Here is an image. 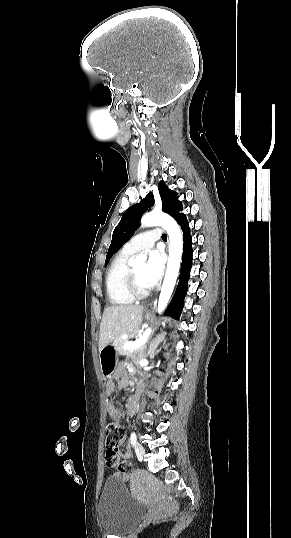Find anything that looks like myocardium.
Segmentation results:
<instances>
[{
  "label": "myocardium",
  "mask_w": 291,
  "mask_h": 538,
  "mask_svg": "<svg viewBox=\"0 0 291 538\" xmlns=\"http://www.w3.org/2000/svg\"><path fill=\"white\" fill-rule=\"evenodd\" d=\"M126 287L127 291L134 299H144L151 294V289L143 290L139 286L133 268H129V271L127 273Z\"/></svg>",
  "instance_id": "obj_1"
}]
</instances>
